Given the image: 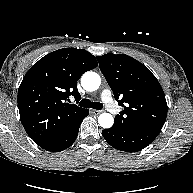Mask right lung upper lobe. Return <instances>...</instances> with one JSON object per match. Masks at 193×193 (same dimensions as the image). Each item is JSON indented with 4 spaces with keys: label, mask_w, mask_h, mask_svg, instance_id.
Returning a JSON list of instances; mask_svg holds the SVG:
<instances>
[{
    "label": "right lung upper lobe",
    "mask_w": 193,
    "mask_h": 193,
    "mask_svg": "<svg viewBox=\"0 0 193 193\" xmlns=\"http://www.w3.org/2000/svg\"><path fill=\"white\" fill-rule=\"evenodd\" d=\"M98 66L88 51L63 48L51 52L35 63L18 89L20 120L27 134L42 148L68 129L86 109L66 103L80 96L77 81Z\"/></svg>",
    "instance_id": "obj_1"
}]
</instances>
